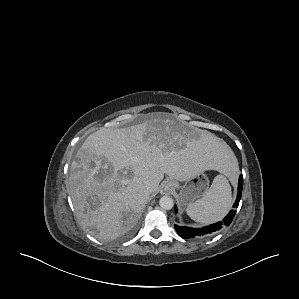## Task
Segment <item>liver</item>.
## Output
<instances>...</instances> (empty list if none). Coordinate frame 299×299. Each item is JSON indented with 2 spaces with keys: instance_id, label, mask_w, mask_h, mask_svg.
Here are the masks:
<instances>
[{
  "instance_id": "obj_1",
  "label": "liver",
  "mask_w": 299,
  "mask_h": 299,
  "mask_svg": "<svg viewBox=\"0 0 299 299\" xmlns=\"http://www.w3.org/2000/svg\"><path fill=\"white\" fill-rule=\"evenodd\" d=\"M234 164L222 139L159 114L131 127L101 128L89 135L71 163L69 192L81 226L111 240L136 220L164 174L186 181L204 170L227 174ZM145 182L151 183V191Z\"/></svg>"
}]
</instances>
